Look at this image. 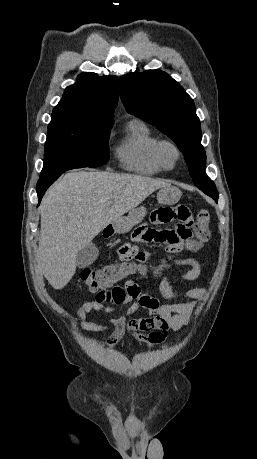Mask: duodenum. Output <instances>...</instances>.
<instances>
[{
    "label": "duodenum",
    "instance_id": "obj_1",
    "mask_svg": "<svg viewBox=\"0 0 257 459\" xmlns=\"http://www.w3.org/2000/svg\"><path fill=\"white\" fill-rule=\"evenodd\" d=\"M111 229V227H109ZM112 233V231L109 233V235Z\"/></svg>",
    "mask_w": 257,
    "mask_h": 459
}]
</instances>
